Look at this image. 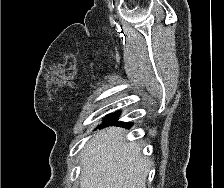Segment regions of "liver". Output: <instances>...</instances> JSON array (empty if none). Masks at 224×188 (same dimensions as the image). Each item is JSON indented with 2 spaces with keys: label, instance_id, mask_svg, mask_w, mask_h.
<instances>
[{
  "label": "liver",
  "instance_id": "1",
  "mask_svg": "<svg viewBox=\"0 0 224 188\" xmlns=\"http://www.w3.org/2000/svg\"><path fill=\"white\" fill-rule=\"evenodd\" d=\"M123 136L122 129L110 127L88 142L82 150L80 188H146L149 161Z\"/></svg>",
  "mask_w": 224,
  "mask_h": 188
}]
</instances>
